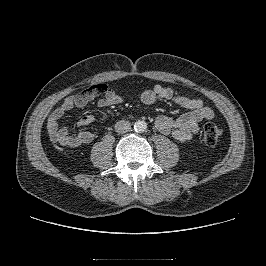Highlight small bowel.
Here are the masks:
<instances>
[{
  "mask_svg": "<svg viewBox=\"0 0 266 266\" xmlns=\"http://www.w3.org/2000/svg\"><path fill=\"white\" fill-rule=\"evenodd\" d=\"M93 98L87 95L86 90L71 95L50 114L46 128L48 136L54 144L66 148H75L94 140L96 132L81 131L77 134H71L65 126L61 125L62 119L69 111L84 107ZM159 99L173 101L178 106L187 109V112L176 118L162 114L155 119V127L159 132L170 135L178 141L191 139L198 132L201 122L211 120L214 117V111L206 106L201 99L176 94L172 89L162 85H155L151 89L144 91L141 95V101L146 105H152ZM123 101L124 97L121 94L112 89H108L105 95L98 99L96 103L99 107H108L119 105ZM93 121V115L84 114L78 120L77 126L85 127L93 123Z\"/></svg>",
  "mask_w": 266,
  "mask_h": 266,
  "instance_id": "small-bowel-1",
  "label": "small bowel"
}]
</instances>
